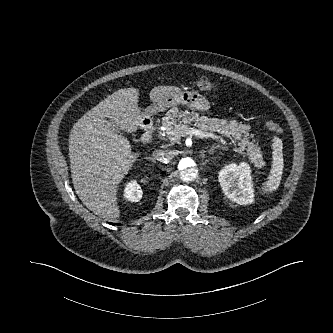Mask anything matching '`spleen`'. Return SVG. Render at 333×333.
<instances>
[{
    "mask_svg": "<svg viewBox=\"0 0 333 333\" xmlns=\"http://www.w3.org/2000/svg\"><path fill=\"white\" fill-rule=\"evenodd\" d=\"M282 142L279 139H275L273 143V163L270 171V176L266 182V191H275L281 181L283 171V154H282Z\"/></svg>",
    "mask_w": 333,
    "mask_h": 333,
    "instance_id": "3e777b00",
    "label": "spleen"
}]
</instances>
